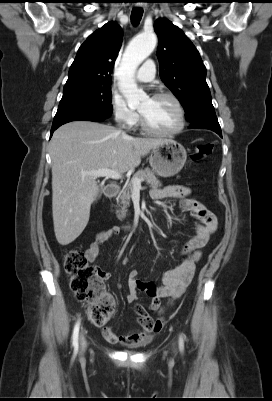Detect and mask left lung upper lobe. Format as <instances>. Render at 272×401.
<instances>
[{"instance_id": "1", "label": "left lung upper lobe", "mask_w": 272, "mask_h": 401, "mask_svg": "<svg viewBox=\"0 0 272 401\" xmlns=\"http://www.w3.org/2000/svg\"><path fill=\"white\" fill-rule=\"evenodd\" d=\"M154 30L159 39L161 80L182 104L186 120L215 115L206 68L198 50L181 29L165 18L155 21Z\"/></svg>"}]
</instances>
